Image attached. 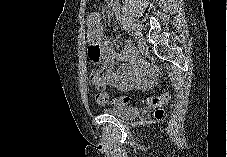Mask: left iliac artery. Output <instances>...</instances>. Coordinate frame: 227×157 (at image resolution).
<instances>
[{
  "label": "left iliac artery",
  "instance_id": "left-iliac-artery-1",
  "mask_svg": "<svg viewBox=\"0 0 227 157\" xmlns=\"http://www.w3.org/2000/svg\"><path fill=\"white\" fill-rule=\"evenodd\" d=\"M128 31H130V34H132V37H137V32H135V29L133 26H128Z\"/></svg>",
  "mask_w": 227,
  "mask_h": 157
}]
</instances>
